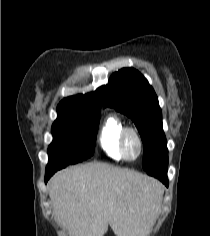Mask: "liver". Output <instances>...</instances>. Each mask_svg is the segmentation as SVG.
Wrapping results in <instances>:
<instances>
[{"label":"liver","instance_id":"liver-1","mask_svg":"<svg viewBox=\"0 0 210 236\" xmlns=\"http://www.w3.org/2000/svg\"><path fill=\"white\" fill-rule=\"evenodd\" d=\"M163 186L146 175L104 163L70 167L54 175L49 196L70 236H148Z\"/></svg>","mask_w":210,"mask_h":236}]
</instances>
